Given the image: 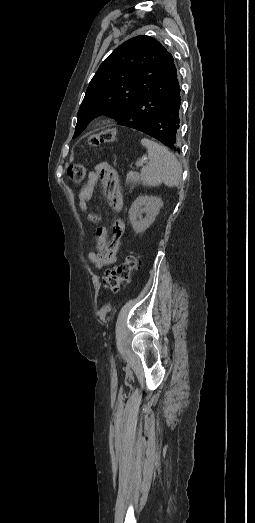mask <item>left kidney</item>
Returning <instances> with one entry per match:
<instances>
[{
    "mask_svg": "<svg viewBox=\"0 0 255 523\" xmlns=\"http://www.w3.org/2000/svg\"><path fill=\"white\" fill-rule=\"evenodd\" d=\"M162 206L163 202L161 198H155V196H139V198H136L129 210V220L133 230H135L137 234L145 232V230L153 224ZM141 214H146L143 220Z\"/></svg>",
    "mask_w": 255,
    "mask_h": 523,
    "instance_id": "1",
    "label": "left kidney"
}]
</instances>
